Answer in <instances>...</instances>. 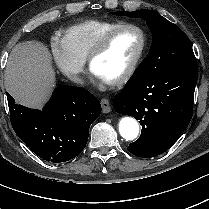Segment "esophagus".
<instances>
[{"mask_svg":"<svg viewBox=\"0 0 209 209\" xmlns=\"http://www.w3.org/2000/svg\"><path fill=\"white\" fill-rule=\"evenodd\" d=\"M100 102L102 106V112L109 113L111 110L109 100L107 98H102Z\"/></svg>","mask_w":209,"mask_h":209,"instance_id":"34e87169","label":"esophagus"}]
</instances>
